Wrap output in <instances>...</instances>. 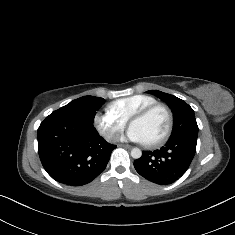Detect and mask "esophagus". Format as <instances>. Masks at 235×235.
Segmentation results:
<instances>
[{
  "instance_id": "1",
  "label": "esophagus",
  "mask_w": 235,
  "mask_h": 235,
  "mask_svg": "<svg viewBox=\"0 0 235 235\" xmlns=\"http://www.w3.org/2000/svg\"><path fill=\"white\" fill-rule=\"evenodd\" d=\"M119 147H123V148H126V149H131L132 146L129 145V144H118Z\"/></svg>"
}]
</instances>
